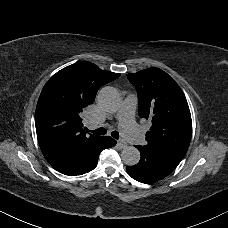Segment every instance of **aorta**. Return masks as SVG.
Segmentation results:
<instances>
[{
    "label": "aorta",
    "mask_w": 228,
    "mask_h": 228,
    "mask_svg": "<svg viewBox=\"0 0 228 228\" xmlns=\"http://www.w3.org/2000/svg\"><path fill=\"white\" fill-rule=\"evenodd\" d=\"M97 101L105 112L113 113L119 108L121 100L115 88L106 86L99 91ZM121 159L126 165H136L140 160V152L134 146H126L121 152Z\"/></svg>",
    "instance_id": "1"
}]
</instances>
